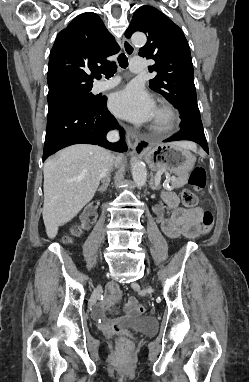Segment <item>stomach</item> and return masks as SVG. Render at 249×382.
I'll list each match as a JSON object with an SVG mask.
<instances>
[{"mask_svg":"<svg viewBox=\"0 0 249 382\" xmlns=\"http://www.w3.org/2000/svg\"><path fill=\"white\" fill-rule=\"evenodd\" d=\"M145 161L153 171L187 175L194 167L195 156L178 142L159 144L145 152Z\"/></svg>","mask_w":249,"mask_h":382,"instance_id":"stomach-1","label":"stomach"}]
</instances>
